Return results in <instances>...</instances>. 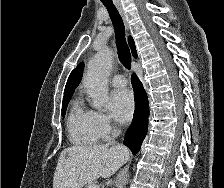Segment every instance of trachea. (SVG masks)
Masks as SVG:
<instances>
[{
    "label": "trachea",
    "mask_w": 224,
    "mask_h": 188,
    "mask_svg": "<svg viewBox=\"0 0 224 188\" xmlns=\"http://www.w3.org/2000/svg\"><path fill=\"white\" fill-rule=\"evenodd\" d=\"M102 3L107 9L114 26L119 60L125 68L131 69V55L125 39V26L122 17L113 3Z\"/></svg>",
    "instance_id": "1"
}]
</instances>
